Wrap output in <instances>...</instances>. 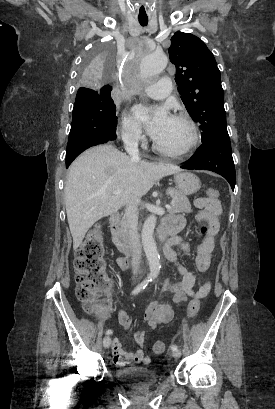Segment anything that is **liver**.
Segmentation results:
<instances>
[{
  "label": "liver",
  "instance_id": "1",
  "mask_svg": "<svg viewBox=\"0 0 275 409\" xmlns=\"http://www.w3.org/2000/svg\"><path fill=\"white\" fill-rule=\"evenodd\" d=\"M179 166L131 158L112 144L92 146L69 168L65 205L76 251L90 227L119 211L130 198H140L155 180L179 172ZM114 190H121L113 194Z\"/></svg>",
  "mask_w": 275,
  "mask_h": 409
}]
</instances>
